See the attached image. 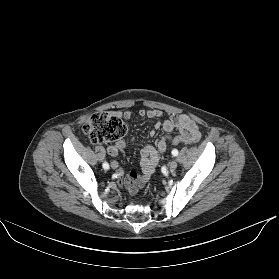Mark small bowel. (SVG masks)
<instances>
[{
  "label": "small bowel",
  "mask_w": 279,
  "mask_h": 279,
  "mask_svg": "<svg viewBox=\"0 0 279 279\" xmlns=\"http://www.w3.org/2000/svg\"><path fill=\"white\" fill-rule=\"evenodd\" d=\"M139 115L151 119H159L162 117V113L157 109H141ZM120 116L125 120H129L132 117V112L130 110H125L120 113ZM157 130H162L164 134L159 138L155 146L149 145L142 150V173L139 174L135 171H131L128 175L124 176L122 170L117 172L119 184L127 188L131 194H136L138 190L148 182L165 153L167 144L171 142L174 137H185L192 142H197L201 138L198 125L184 114H174L163 122L157 121L154 128L150 131V135L154 136ZM174 132H176V135L173 134ZM134 140L135 137H132L129 141L119 140L108 147V153L116 157L123 149L131 145Z\"/></svg>",
  "instance_id": "obj_1"
}]
</instances>
